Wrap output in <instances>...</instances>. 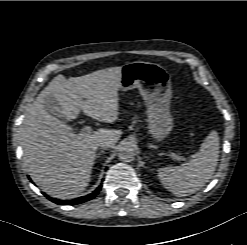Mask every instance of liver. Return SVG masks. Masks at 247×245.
<instances>
[{
	"mask_svg": "<svg viewBox=\"0 0 247 245\" xmlns=\"http://www.w3.org/2000/svg\"><path fill=\"white\" fill-rule=\"evenodd\" d=\"M121 67H111L81 77L57 75L40 92L21 124L23 162L32 180L58 199L79 196L88 186L103 141L118 142L122 132L99 129L93 134H75L66 122L48 113L44 99L52 95L59 104V118L72 121L80 110L104 123L119 115Z\"/></svg>",
	"mask_w": 247,
	"mask_h": 245,
	"instance_id": "obj_1",
	"label": "liver"
}]
</instances>
